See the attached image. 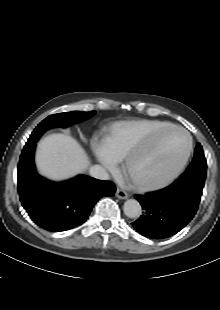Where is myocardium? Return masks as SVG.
<instances>
[{"instance_id": "1", "label": "myocardium", "mask_w": 220, "mask_h": 310, "mask_svg": "<svg viewBox=\"0 0 220 310\" xmlns=\"http://www.w3.org/2000/svg\"><path fill=\"white\" fill-rule=\"evenodd\" d=\"M167 130H177L182 133H184L187 136L188 139V147L186 150V153L182 159V161L179 163V165L175 168V170L170 173L167 177L164 179L157 181V182H148L144 180H140L135 178L131 173V166L135 159L139 157L141 154L150 151V148H146L151 143H154L155 140L165 131ZM193 150V139L190 133L184 129L181 126L178 125H168L166 127H163L162 129L155 132L153 135H151L144 143L133 149L125 158L122 165L123 173L131 180L132 184L139 190H158L162 189L168 185H170L172 182H174L179 175L184 170L186 164L188 163V160L191 156Z\"/></svg>"}]
</instances>
